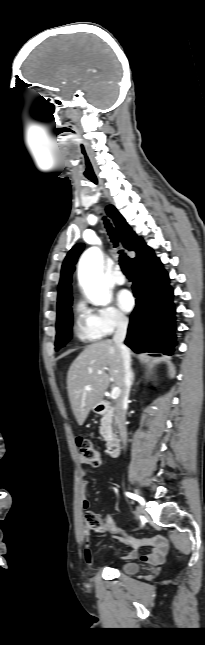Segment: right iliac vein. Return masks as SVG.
<instances>
[{
	"label": "right iliac vein",
	"mask_w": 205,
	"mask_h": 645,
	"mask_svg": "<svg viewBox=\"0 0 205 645\" xmlns=\"http://www.w3.org/2000/svg\"><path fill=\"white\" fill-rule=\"evenodd\" d=\"M136 493L141 497V495H140L138 490H136ZM139 512L143 513V510L141 508H139Z\"/></svg>",
	"instance_id": "1"
}]
</instances>
